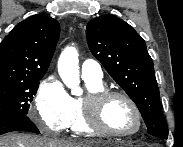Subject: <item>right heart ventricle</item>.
I'll return each mask as SVG.
<instances>
[{
	"mask_svg": "<svg viewBox=\"0 0 183 147\" xmlns=\"http://www.w3.org/2000/svg\"><path fill=\"white\" fill-rule=\"evenodd\" d=\"M88 94L105 89L102 82L85 81ZM85 97H71V117L67 128L78 136L98 134L87 123L85 117Z\"/></svg>",
	"mask_w": 183,
	"mask_h": 147,
	"instance_id": "obj_1",
	"label": "right heart ventricle"
}]
</instances>
